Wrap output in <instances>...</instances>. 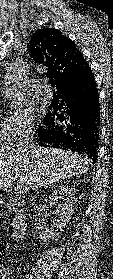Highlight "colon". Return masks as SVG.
<instances>
[{
  "mask_svg": "<svg viewBox=\"0 0 113 279\" xmlns=\"http://www.w3.org/2000/svg\"><path fill=\"white\" fill-rule=\"evenodd\" d=\"M1 253H2V250L0 248V259H1ZM0 271H1V266H0ZM0 277H1V274H0Z\"/></svg>",
  "mask_w": 113,
  "mask_h": 279,
  "instance_id": "5ec220e1",
  "label": "colon"
}]
</instances>
